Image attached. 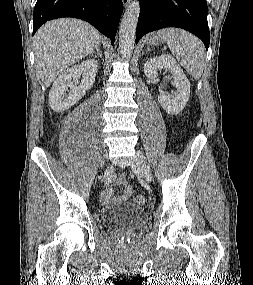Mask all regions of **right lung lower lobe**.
Returning <instances> with one entry per match:
<instances>
[{"instance_id":"1","label":"right lung lower lobe","mask_w":253,"mask_h":285,"mask_svg":"<svg viewBox=\"0 0 253 285\" xmlns=\"http://www.w3.org/2000/svg\"><path fill=\"white\" fill-rule=\"evenodd\" d=\"M122 11L121 0H37L33 13V35L48 20L75 17L92 24L114 44Z\"/></svg>"}]
</instances>
